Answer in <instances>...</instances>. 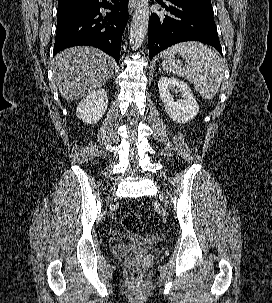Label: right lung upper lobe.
Wrapping results in <instances>:
<instances>
[{
  "label": "right lung upper lobe",
  "instance_id": "right-lung-upper-lobe-1",
  "mask_svg": "<svg viewBox=\"0 0 272 303\" xmlns=\"http://www.w3.org/2000/svg\"><path fill=\"white\" fill-rule=\"evenodd\" d=\"M92 0H58V6H74L82 3H88Z\"/></svg>",
  "mask_w": 272,
  "mask_h": 303
}]
</instances>
